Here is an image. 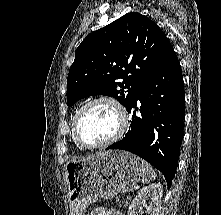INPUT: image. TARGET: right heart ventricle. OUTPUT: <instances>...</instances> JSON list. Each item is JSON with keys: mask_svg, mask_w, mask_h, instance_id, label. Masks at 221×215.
Returning a JSON list of instances; mask_svg holds the SVG:
<instances>
[{"mask_svg": "<svg viewBox=\"0 0 221 215\" xmlns=\"http://www.w3.org/2000/svg\"><path fill=\"white\" fill-rule=\"evenodd\" d=\"M72 124H73V122H72ZM71 137H72V140H73V142H74L76 148H77L78 150H83L84 148H82L81 146H79V145L77 144V142L75 141L74 136H73L72 128H71Z\"/></svg>", "mask_w": 221, "mask_h": 215, "instance_id": "obj_1", "label": "right heart ventricle"}]
</instances>
